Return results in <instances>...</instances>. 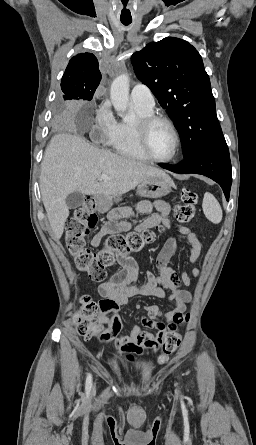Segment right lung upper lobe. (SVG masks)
Instances as JSON below:
<instances>
[{
  "label": "right lung upper lobe",
  "mask_w": 256,
  "mask_h": 445,
  "mask_svg": "<svg viewBox=\"0 0 256 445\" xmlns=\"http://www.w3.org/2000/svg\"><path fill=\"white\" fill-rule=\"evenodd\" d=\"M100 81L97 58L90 53H81L69 61L61 80V89L65 97L91 100Z\"/></svg>",
  "instance_id": "right-lung-upper-lobe-1"
}]
</instances>
